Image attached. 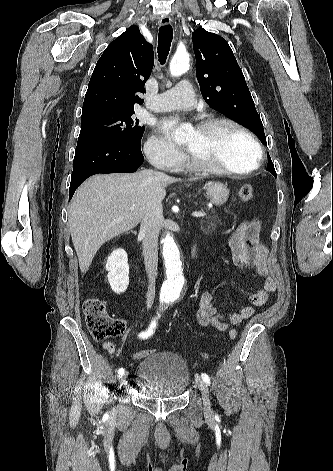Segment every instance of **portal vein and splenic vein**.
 <instances>
[{"label": "portal vein and splenic vein", "instance_id": "portal-vein-and-splenic-vein-1", "mask_svg": "<svg viewBox=\"0 0 333 471\" xmlns=\"http://www.w3.org/2000/svg\"><path fill=\"white\" fill-rule=\"evenodd\" d=\"M192 216L196 218H200V217L206 216V214L204 212H193Z\"/></svg>", "mask_w": 333, "mask_h": 471}]
</instances>
